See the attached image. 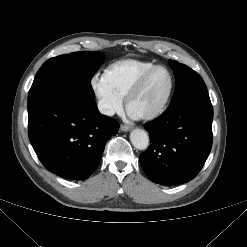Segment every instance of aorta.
I'll return each instance as SVG.
<instances>
[{
	"instance_id": "1",
	"label": "aorta",
	"mask_w": 247,
	"mask_h": 247,
	"mask_svg": "<svg viewBox=\"0 0 247 247\" xmlns=\"http://www.w3.org/2000/svg\"><path fill=\"white\" fill-rule=\"evenodd\" d=\"M130 140L132 145L138 150H145L149 146V136L147 132L142 129H134L130 133Z\"/></svg>"
}]
</instances>
